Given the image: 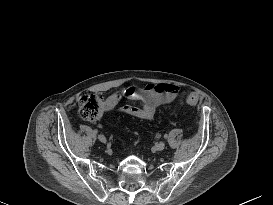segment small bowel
Segmentation results:
<instances>
[{
  "label": "small bowel",
  "instance_id": "small-bowel-1",
  "mask_svg": "<svg viewBox=\"0 0 273 205\" xmlns=\"http://www.w3.org/2000/svg\"><path fill=\"white\" fill-rule=\"evenodd\" d=\"M184 93L173 84L150 83L143 87L130 85L125 90L113 92L104 100V110L112 112L116 106L123 100L136 101L140 106L125 105L117 110L118 113L134 116L144 120H150L154 117L160 106L168 105L174 102L182 103Z\"/></svg>",
  "mask_w": 273,
  "mask_h": 205
}]
</instances>
